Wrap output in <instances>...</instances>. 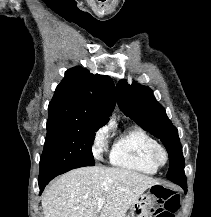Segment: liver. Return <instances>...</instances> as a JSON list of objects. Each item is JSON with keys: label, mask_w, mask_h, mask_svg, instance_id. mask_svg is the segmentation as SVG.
Segmentation results:
<instances>
[{"label": "liver", "mask_w": 211, "mask_h": 217, "mask_svg": "<svg viewBox=\"0 0 211 217\" xmlns=\"http://www.w3.org/2000/svg\"><path fill=\"white\" fill-rule=\"evenodd\" d=\"M159 182L123 168L82 167L63 174L42 196L44 217H125L129 207ZM103 206L98 210V199Z\"/></svg>", "instance_id": "obj_1"}]
</instances>
